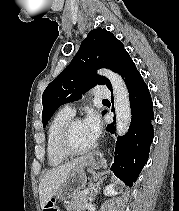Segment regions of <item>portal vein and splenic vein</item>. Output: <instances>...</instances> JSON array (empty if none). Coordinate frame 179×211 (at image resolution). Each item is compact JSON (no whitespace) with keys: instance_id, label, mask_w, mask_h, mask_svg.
Wrapping results in <instances>:
<instances>
[{"instance_id":"portal-vein-and-splenic-vein-1","label":"portal vein and splenic vein","mask_w":179,"mask_h":211,"mask_svg":"<svg viewBox=\"0 0 179 211\" xmlns=\"http://www.w3.org/2000/svg\"><path fill=\"white\" fill-rule=\"evenodd\" d=\"M84 194H88L89 193V189L83 191Z\"/></svg>"}]
</instances>
